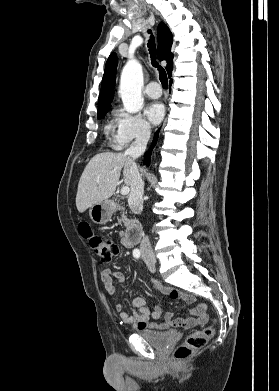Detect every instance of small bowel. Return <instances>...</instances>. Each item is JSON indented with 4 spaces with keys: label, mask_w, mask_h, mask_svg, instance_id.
<instances>
[{
    "label": "small bowel",
    "mask_w": 279,
    "mask_h": 391,
    "mask_svg": "<svg viewBox=\"0 0 279 391\" xmlns=\"http://www.w3.org/2000/svg\"><path fill=\"white\" fill-rule=\"evenodd\" d=\"M118 237L126 247H132L128 244L123 232H119ZM100 277L106 292L111 296H114L116 293L115 280L119 283H122L125 280L123 273L112 272L110 269H102L100 271ZM155 286L173 299L182 300L188 304L194 305V309L192 311L194 317L175 318L172 312H168L165 315L164 322H152L151 319H159L161 317V308L155 307L153 310H150L147 306L146 300L142 297H137L132 301V311L130 314L123 311V307L120 302L115 303V310L119 313V317L123 323L133 326L139 330H164L176 326L188 329L197 325H204L208 321L206 306L197 303L196 299L192 295L186 294L177 289L167 288L158 282H155Z\"/></svg>",
    "instance_id": "obj_1"
}]
</instances>
